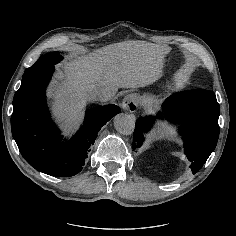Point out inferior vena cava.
Masks as SVG:
<instances>
[{
  "label": "inferior vena cava",
  "instance_id": "1",
  "mask_svg": "<svg viewBox=\"0 0 236 236\" xmlns=\"http://www.w3.org/2000/svg\"><path fill=\"white\" fill-rule=\"evenodd\" d=\"M113 95L111 90H106L104 87H96L91 92V98L98 101L109 100Z\"/></svg>",
  "mask_w": 236,
  "mask_h": 236
}]
</instances>
